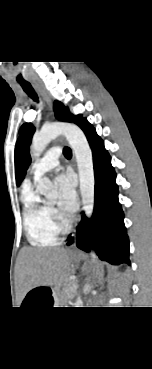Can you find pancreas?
I'll use <instances>...</instances> for the list:
<instances>
[{
    "label": "pancreas",
    "instance_id": "1",
    "mask_svg": "<svg viewBox=\"0 0 152 369\" xmlns=\"http://www.w3.org/2000/svg\"><path fill=\"white\" fill-rule=\"evenodd\" d=\"M76 289H77V284H76V283L72 284V285L69 287V289H68V292H67V294H66V297H67L68 299L73 298V297H74V293H75Z\"/></svg>",
    "mask_w": 152,
    "mask_h": 369
}]
</instances>
